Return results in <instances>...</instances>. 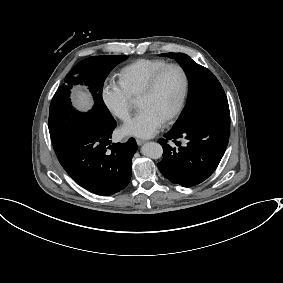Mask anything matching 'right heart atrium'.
<instances>
[{"mask_svg":"<svg viewBox=\"0 0 283 283\" xmlns=\"http://www.w3.org/2000/svg\"><path fill=\"white\" fill-rule=\"evenodd\" d=\"M101 97L110 113L121 121H127L131 115L133 100L120 83L113 78L104 81Z\"/></svg>","mask_w":283,"mask_h":283,"instance_id":"obj_1","label":"right heart atrium"}]
</instances>
